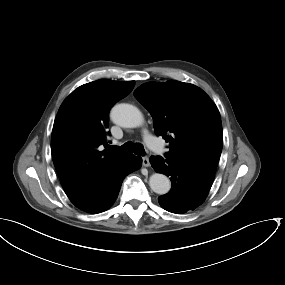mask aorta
<instances>
[{
    "mask_svg": "<svg viewBox=\"0 0 285 285\" xmlns=\"http://www.w3.org/2000/svg\"><path fill=\"white\" fill-rule=\"evenodd\" d=\"M111 119L115 124L125 128H136L144 122L141 111L126 103L117 104L112 108ZM149 186L155 193L164 195L169 192L171 182L164 174L154 173L149 178Z\"/></svg>",
    "mask_w": 285,
    "mask_h": 285,
    "instance_id": "762f6f07",
    "label": "aorta"
}]
</instances>
